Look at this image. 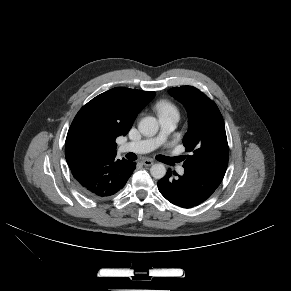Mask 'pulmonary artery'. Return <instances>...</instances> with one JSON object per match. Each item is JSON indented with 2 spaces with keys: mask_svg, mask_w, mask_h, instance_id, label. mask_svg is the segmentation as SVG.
Instances as JSON below:
<instances>
[{
  "mask_svg": "<svg viewBox=\"0 0 291 291\" xmlns=\"http://www.w3.org/2000/svg\"><path fill=\"white\" fill-rule=\"evenodd\" d=\"M178 120L179 116L175 114L159 117L161 130L157 136L136 142L125 143L124 145H122L121 150L130 151L134 153H147L154 150L158 146L165 143L168 135L175 129ZM178 172L179 174H183L184 168L179 167Z\"/></svg>",
  "mask_w": 291,
  "mask_h": 291,
  "instance_id": "obj_1",
  "label": "pulmonary artery"
}]
</instances>
